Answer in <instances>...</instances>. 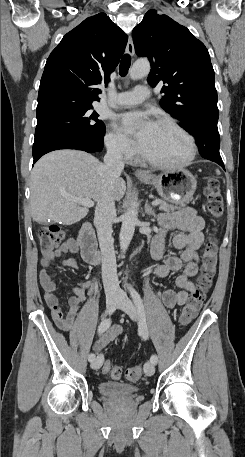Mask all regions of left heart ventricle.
Here are the masks:
<instances>
[{"label":"left heart ventricle","mask_w":245,"mask_h":457,"mask_svg":"<svg viewBox=\"0 0 245 457\" xmlns=\"http://www.w3.org/2000/svg\"><path fill=\"white\" fill-rule=\"evenodd\" d=\"M186 145V139L178 132L156 127L141 152L156 159L179 161L186 154Z\"/></svg>","instance_id":"b2bd125f"}]
</instances>
